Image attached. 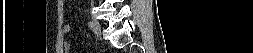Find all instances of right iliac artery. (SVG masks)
I'll list each match as a JSON object with an SVG mask.
<instances>
[{
    "label": "right iliac artery",
    "instance_id": "82829eb1",
    "mask_svg": "<svg viewBox=\"0 0 253 53\" xmlns=\"http://www.w3.org/2000/svg\"><path fill=\"white\" fill-rule=\"evenodd\" d=\"M88 27L92 30V31H94V26H93V22H89L88 23Z\"/></svg>",
    "mask_w": 253,
    "mask_h": 53
}]
</instances>
